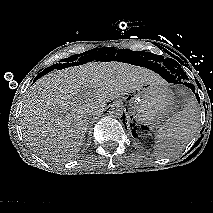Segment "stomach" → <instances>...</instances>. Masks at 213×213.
<instances>
[{
    "mask_svg": "<svg viewBox=\"0 0 213 213\" xmlns=\"http://www.w3.org/2000/svg\"><path fill=\"white\" fill-rule=\"evenodd\" d=\"M137 122L154 126L178 108L173 91L163 83H149L128 94Z\"/></svg>",
    "mask_w": 213,
    "mask_h": 213,
    "instance_id": "stomach-1",
    "label": "stomach"
}]
</instances>
